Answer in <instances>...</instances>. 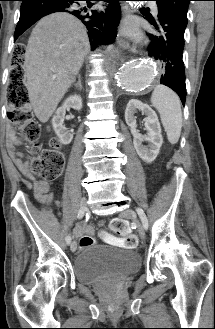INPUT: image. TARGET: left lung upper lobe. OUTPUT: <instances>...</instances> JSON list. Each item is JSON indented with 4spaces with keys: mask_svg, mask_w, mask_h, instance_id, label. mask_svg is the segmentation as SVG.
Wrapping results in <instances>:
<instances>
[{
    "mask_svg": "<svg viewBox=\"0 0 215 329\" xmlns=\"http://www.w3.org/2000/svg\"><path fill=\"white\" fill-rule=\"evenodd\" d=\"M159 10H163L187 25V11L191 0H155Z\"/></svg>",
    "mask_w": 215,
    "mask_h": 329,
    "instance_id": "5c2ea615",
    "label": "left lung upper lobe"
}]
</instances>
